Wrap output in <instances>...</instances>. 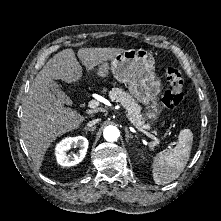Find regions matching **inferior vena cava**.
Segmentation results:
<instances>
[{"label":"inferior vena cava","mask_w":221,"mask_h":221,"mask_svg":"<svg viewBox=\"0 0 221 221\" xmlns=\"http://www.w3.org/2000/svg\"><path fill=\"white\" fill-rule=\"evenodd\" d=\"M100 120H101L100 118H95V119L89 121V122L87 123V126H88V127H92V126H94L95 124H97Z\"/></svg>","instance_id":"obj_1"}]
</instances>
